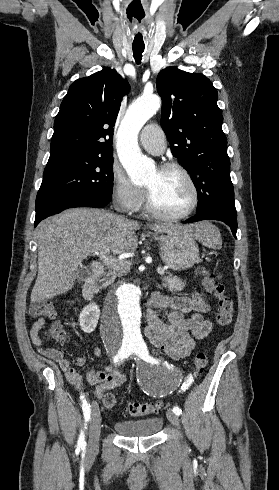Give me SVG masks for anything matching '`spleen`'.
<instances>
[{"instance_id":"1","label":"spleen","mask_w":279,"mask_h":490,"mask_svg":"<svg viewBox=\"0 0 279 490\" xmlns=\"http://www.w3.org/2000/svg\"><path fill=\"white\" fill-rule=\"evenodd\" d=\"M197 240H200L203 246H206V248H212V250H220V248H222L220 232L216 226L209 224V222H206V230L204 234H200V236H198Z\"/></svg>"}]
</instances>
